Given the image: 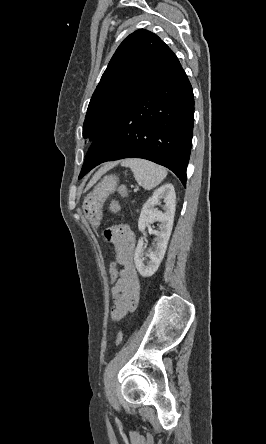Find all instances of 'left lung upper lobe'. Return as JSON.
Instances as JSON below:
<instances>
[{
	"label": "left lung upper lobe",
	"mask_w": 266,
	"mask_h": 444,
	"mask_svg": "<svg viewBox=\"0 0 266 444\" xmlns=\"http://www.w3.org/2000/svg\"><path fill=\"white\" fill-rule=\"evenodd\" d=\"M179 65L173 51L154 33L139 29L130 34L115 51L92 95L83 136L94 141L115 117Z\"/></svg>",
	"instance_id": "obj_1"
}]
</instances>
